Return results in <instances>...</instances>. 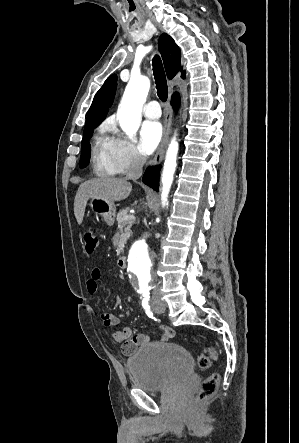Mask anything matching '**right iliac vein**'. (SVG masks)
I'll return each instance as SVG.
<instances>
[{"label": "right iliac vein", "instance_id": "63e3f726", "mask_svg": "<svg viewBox=\"0 0 299 443\" xmlns=\"http://www.w3.org/2000/svg\"><path fill=\"white\" fill-rule=\"evenodd\" d=\"M157 307L159 308V309H164V306L163 305H157Z\"/></svg>", "mask_w": 299, "mask_h": 443}]
</instances>
